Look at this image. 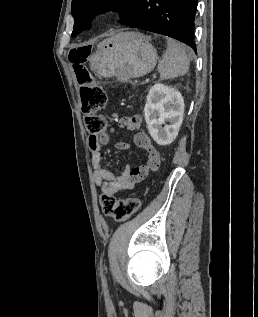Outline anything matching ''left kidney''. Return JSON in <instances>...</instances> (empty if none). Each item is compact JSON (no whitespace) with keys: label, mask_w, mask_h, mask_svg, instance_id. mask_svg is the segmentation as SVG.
I'll return each mask as SVG.
<instances>
[{"label":"left kidney","mask_w":258,"mask_h":317,"mask_svg":"<svg viewBox=\"0 0 258 317\" xmlns=\"http://www.w3.org/2000/svg\"><path fill=\"white\" fill-rule=\"evenodd\" d=\"M183 112L184 98L177 88L160 82L151 86L144 114L147 128L157 144L165 146L175 140L182 124ZM166 120L170 124H165Z\"/></svg>","instance_id":"left-kidney-1"}]
</instances>
